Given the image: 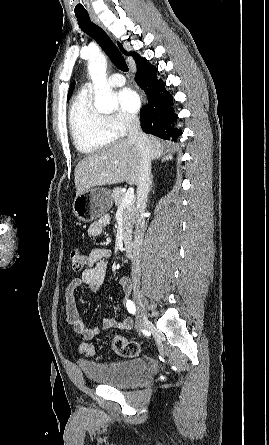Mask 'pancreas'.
Returning <instances> with one entry per match:
<instances>
[{"mask_svg": "<svg viewBox=\"0 0 269 445\" xmlns=\"http://www.w3.org/2000/svg\"><path fill=\"white\" fill-rule=\"evenodd\" d=\"M124 196L125 192H123L122 188L117 187L112 191V197L115 201V205L117 206L118 209L123 210V227H124L123 241L125 244H128L132 239L131 233L133 225L135 223L137 211L134 200L128 206L125 207L122 206V200Z\"/></svg>", "mask_w": 269, "mask_h": 445, "instance_id": "obj_1", "label": "pancreas"}]
</instances>
